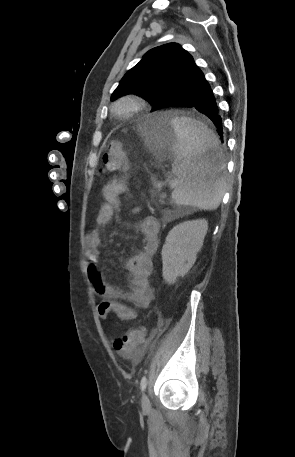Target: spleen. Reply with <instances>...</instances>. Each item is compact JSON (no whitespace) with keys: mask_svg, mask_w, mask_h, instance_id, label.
Here are the masks:
<instances>
[{"mask_svg":"<svg viewBox=\"0 0 295 457\" xmlns=\"http://www.w3.org/2000/svg\"><path fill=\"white\" fill-rule=\"evenodd\" d=\"M178 142L173 145V171L176 179L172 200L202 210L216 209L225 194L226 180L219 172L224 168L219 140L205 124L189 117L172 119ZM215 152L214 163L203 157Z\"/></svg>","mask_w":295,"mask_h":457,"instance_id":"obj_1","label":"spleen"}]
</instances>
